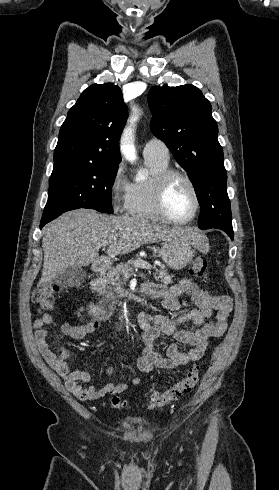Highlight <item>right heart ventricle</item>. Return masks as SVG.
I'll use <instances>...</instances> for the list:
<instances>
[{
	"instance_id": "e07e8e85",
	"label": "right heart ventricle",
	"mask_w": 279,
	"mask_h": 490,
	"mask_svg": "<svg viewBox=\"0 0 279 490\" xmlns=\"http://www.w3.org/2000/svg\"><path fill=\"white\" fill-rule=\"evenodd\" d=\"M150 176L142 182L133 184L131 201L127 215L143 221H163L155 205V193L159 175L169 169V160L145 158Z\"/></svg>"
}]
</instances>
